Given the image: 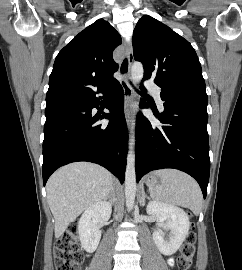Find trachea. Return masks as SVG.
I'll list each match as a JSON object with an SVG mask.
<instances>
[{
	"instance_id": "3493384b",
	"label": "trachea",
	"mask_w": 242,
	"mask_h": 270,
	"mask_svg": "<svg viewBox=\"0 0 242 270\" xmlns=\"http://www.w3.org/2000/svg\"><path fill=\"white\" fill-rule=\"evenodd\" d=\"M127 69H128V62L127 59H125L121 66V73H126Z\"/></svg>"
}]
</instances>
